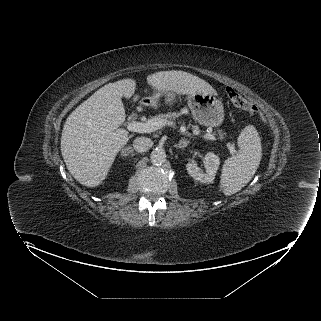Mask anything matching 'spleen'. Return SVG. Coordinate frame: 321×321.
<instances>
[{
  "mask_svg": "<svg viewBox=\"0 0 321 321\" xmlns=\"http://www.w3.org/2000/svg\"><path fill=\"white\" fill-rule=\"evenodd\" d=\"M237 155L228 158L223 165L220 189L225 195L240 191L254 176L262 156L261 139L253 125L240 133Z\"/></svg>",
  "mask_w": 321,
  "mask_h": 321,
  "instance_id": "obj_1",
  "label": "spleen"
}]
</instances>
